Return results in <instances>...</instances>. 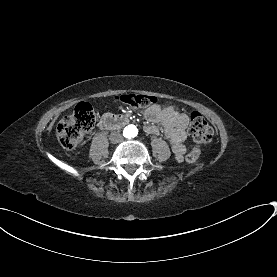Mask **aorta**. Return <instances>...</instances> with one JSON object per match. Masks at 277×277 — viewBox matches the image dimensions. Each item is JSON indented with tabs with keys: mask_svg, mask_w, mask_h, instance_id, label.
<instances>
[{
	"mask_svg": "<svg viewBox=\"0 0 277 277\" xmlns=\"http://www.w3.org/2000/svg\"><path fill=\"white\" fill-rule=\"evenodd\" d=\"M124 134L127 138H134L138 134V129L135 125H128L124 130Z\"/></svg>",
	"mask_w": 277,
	"mask_h": 277,
	"instance_id": "aorta-1",
	"label": "aorta"
}]
</instances>
